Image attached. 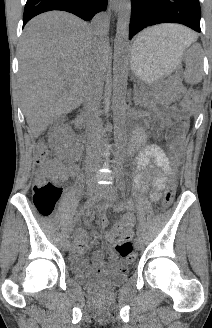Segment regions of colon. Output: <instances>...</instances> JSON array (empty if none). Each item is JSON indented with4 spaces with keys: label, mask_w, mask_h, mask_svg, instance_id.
Segmentation results:
<instances>
[{
    "label": "colon",
    "mask_w": 212,
    "mask_h": 328,
    "mask_svg": "<svg viewBox=\"0 0 212 328\" xmlns=\"http://www.w3.org/2000/svg\"><path fill=\"white\" fill-rule=\"evenodd\" d=\"M197 94L190 89L183 101L185 108H190L196 101ZM185 127L181 125L175 133L172 153L175 159L180 155L179 143L184 134ZM36 161L40 167L33 185V203L37 212L43 217H49L53 214L57 202L60 199L62 189L53 182L46 181L47 176L51 177V169L47 165V149L44 145L39 146L36 153ZM176 182L171 179L164 193L163 207L169 208L174 200ZM116 251L122 257L129 261L134 260L133 247L129 239H121L116 244Z\"/></svg>",
    "instance_id": "colon-1"
}]
</instances>
